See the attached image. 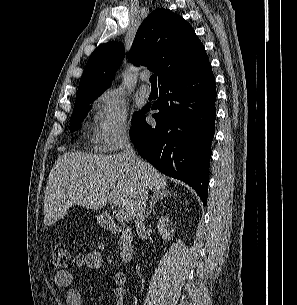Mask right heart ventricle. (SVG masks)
Returning <instances> with one entry per match:
<instances>
[{"instance_id":"obj_1","label":"right heart ventricle","mask_w":297,"mask_h":305,"mask_svg":"<svg viewBox=\"0 0 297 305\" xmlns=\"http://www.w3.org/2000/svg\"><path fill=\"white\" fill-rule=\"evenodd\" d=\"M87 139H88L89 143L91 144V146H97L98 144H100L98 135H88Z\"/></svg>"}]
</instances>
